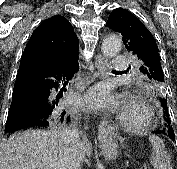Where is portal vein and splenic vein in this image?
<instances>
[{"label": "portal vein and splenic vein", "mask_w": 177, "mask_h": 169, "mask_svg": "<svg viewBox=\"0 0 177 169\" xmlns=\"http://www.w3.org/2000/svg\"><path fill=\"white\" fill-rule=\"evenodd\" d=\"M141 169H147V166H146V165H144Z\"/></svg>", "instance_id": "1"}]
</instances>
